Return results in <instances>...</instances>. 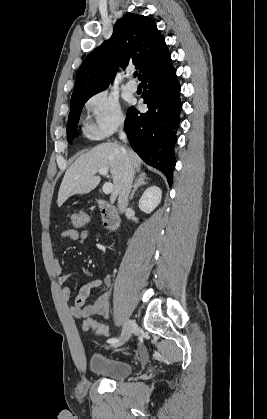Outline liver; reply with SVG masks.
Instances as JSON below:
<instances>
[{"label":"liver","instance_id":"6515ba94","mask_svg":"<svg viewBox=\"0 0 267 419\" xmlns=\"http://www.w3.org/2000/svg\"><path fill=\"white\" fill-rule=\"evenodd\" d=\"M128 153L132 159L134 170L140 172L141 159L132 150H126L117 143L106 142L97 145L81 155L66 170L58 192V206L75 194H87L97 187L101 178L95 174L107 167L113 178V189L110 201L114 202L119 194L124 176V156Z\"/></svg>","mask_w":267,"mask_h":419}]
</instances>
